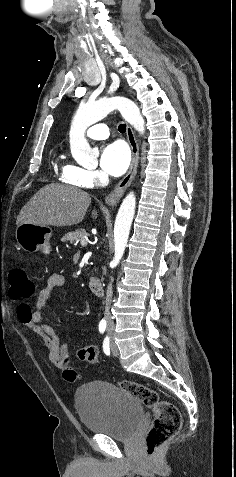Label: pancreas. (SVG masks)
I'll list each match as a JSON object with an SVG mask.
<instances>
[{
    "mask_svg": "<svg viewBox=\"0 0 236 477\" xmlns=\"http://www.w3.org/2000/svg\"><path fill=\"white\" fill-rule=\"evenodd\" d=\"M89 234L84 229H78L74 232L67 233L63 238L62 241L66 242L69 241L71 244L77 243L83 239H87Z\"/></svg>",
    "mask_w": 236,
    "mask_h": 477,
    "instance_id": "obj_1",
    "label": "pancreas"
}]
</instances>
